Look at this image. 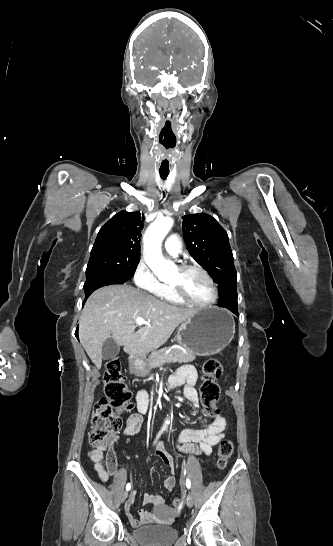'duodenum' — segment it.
<instances>
[{"label": "duodenum", "instance_id": "410a0bca", "mask_svg": "<svg viewBox=\"0 0 333 546\" xmlns=\"http://www.w3.org/2000/svg\"><path fill=\"white\" fill-rule=\"evenodd\" d=\"M168 383H169V386H170L171 388H174V387L176 386L174 383H172V382L170 381V379L168 380Z\"/></svg>", "mask_w": 333, "mask_h": 546}]
</instances>
